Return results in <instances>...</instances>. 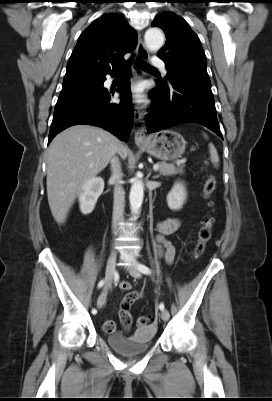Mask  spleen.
I'll list each match as a JSON object with an SVG mask.
<instances>
[{
    "label": "spleen",
    "instance_id": "spleen-1",
    "mask_svg": "<svg viewBox=\"0 0 272 401\" xmlns=\"http://www.w3.org/2000/svg\"><path fill=\"white\" fill-rule=\"evenodd\" d=\"M205 137L207 136L205 135ZM209 152L212 163L214 164L215 167H217L219 164V157L217 150L212 143L209 144Z\"/></svg>",
    "mask_w": 272,
    "mask_h": 401
}]
</instances>
